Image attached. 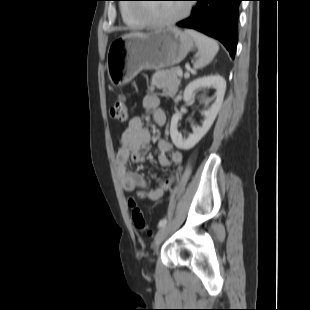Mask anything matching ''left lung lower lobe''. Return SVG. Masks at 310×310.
<instances>
[{
	"mask_svg": "<svg viewBox=\"0 0 310 310\" xmlns=\"http://www.w3.org/2000/svg\"><path fill=\"white\" fill-rule=\"evenodd\" d=\"M196 6L189 18L177 23L219 40L231 57L238 42L239 4L243 0H194Z\"/></svg>",
	"mask_w": 310,
	"mask_h": 310,
	"instance_id": "0a47b994",
	"label": "left lung lower lobe"
}]
</instances>
